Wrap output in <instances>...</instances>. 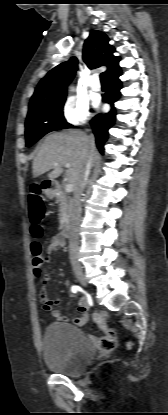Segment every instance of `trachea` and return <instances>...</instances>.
Masks as SVG:
<instances>
[{"instance_id":"1","label":"trachea","mask_w":168,"mask_h":415,"mask_svg":"<svg viewBox=\"0 0 168 415\" xmlns=\"http://www.w3.org/2000/svg\"><path fill=\"white\" fill-rule=\"evenodd\" d=\"M100 80L103 83H107L108 80H107V77H106V74L105 73H101Z\"/></svg>"}]
</instances>
